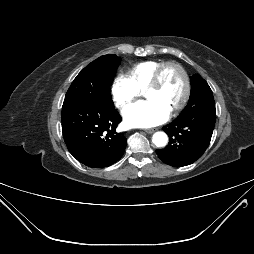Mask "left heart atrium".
I'll return each mask as SVG.
<instances>
[{
    "mask_svg": "<svg viewBox=\"0 0 254 254\" xmlns=\"http://www.w3.org/2000/svg\"><path fill=\"white\" fill-rule=\"evenodd\" d=\"M122 114L127 125L146 128L163 123L170 112L157 101L148 99L127 106Z\"/></svg>",
    "mask_w": 254,
    "mask_h": 254,
    "instance_id": "1",
    "label": "left heart atrium"
}]
</instances>
